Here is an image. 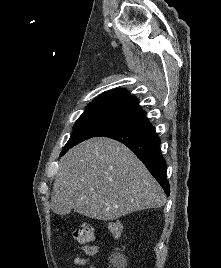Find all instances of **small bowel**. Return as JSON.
<instances>
[{
	"label": "small bowel",
	"instance_id": "1",
	"mask_svg": "<svg viewBox=\"0 0 221 268\" xmlns=\"http://www.w3.org/2000/svg\"><path fill=\"white\" fill-rule=\"evenodd\" d=\"M78 250L83 253V256L76 257L74 263L80 267L86 266L87 268H94L93 265H91V259L98 251L97 246L93 244L79 246Z\"/></svg>",
	"mask_w": 221,
	"mask_h": 268
}]
</instances>
